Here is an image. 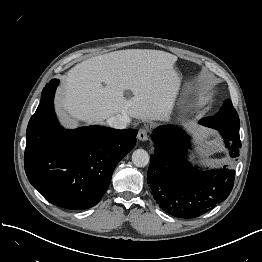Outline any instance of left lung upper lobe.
Instances as JSON below:
<instances>
[{
	"mask_svg": "<svg viewBox=\"0 0 262 262\" xmlns=\"http://www.w3.org/2000/svg\"><path fill=\"white\" fill-rule=\"evenodd\" d=\"M200 123L214 129L239 131V117L230 99L225 100L223 106L214 116L200 120Z\"/></svg>",
	"mask_w": 262,
	"mask_h": 262,
	"instance_id": "1",
	"label": "left lung upper lobe"
}]
</instances>
